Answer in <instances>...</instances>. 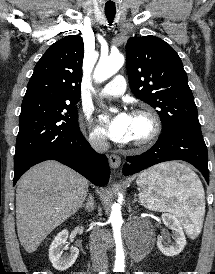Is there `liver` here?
Segmentation results:
<instances>
[{
	"mask_svg": "<svg viewBox=\"0 0 215 274\" xmlns=\"http://www.w3.org/2000/svg\"><path fill=\"white\" fill-rule=\"evenodd\" d=\"M88 180L56 162L29 169L16 189V225L23 248L34 252L57 226L82 206Z\"/></svg>",
	"mask_w": 215,
	"mask_h": 274,
	"instance_id": "liver-1",
	"label": "liver"
}]
</instances>
